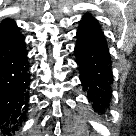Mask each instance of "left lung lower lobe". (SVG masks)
<instances>
[{
	"label": "left lung lower lobe",
	"mask_w": 136,
	"mask_h": 136,
	"mask_svg": "<svg viewBox=\"0 0 136 136\" xmlns=\"http://www.w3.org/2000/svg\"><path fill=\"white\" fill-rule=\"evenodd\" d=\"M106 47L98 22L90 14L84 15L77 31L74 53L80 66L83 90H88L93 107L99 111H103L108 104V92L113 82Z\"/></svg>",
	"instance_id": "left-lung-lower-lobe-1"
}]
</instances>
